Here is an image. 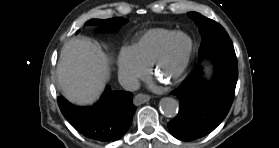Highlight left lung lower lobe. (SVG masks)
Listing matches in <instances>:
<instances>
[{"label": "left lung lower lobe", "instance_id": "0a47b994", "mask_svg": "<svg viewBox=\"0 0 279 148\" xmlns=\"http://www.w3.org/2000/svg\"><path fill=\"white\" fill-rule=\"evenodd\" d=\"M207 58L212 59L213 80L201 79V66L185 78L171 94L180 101L178 115L168 123L171 134L182 141L201 138L212 132L226 117L233 102L238 79V65L233 49L220 50ZM206 57L199 58L200 61Z\"/></svg>", "mask_w": 279, "mask_h": 148}]
</instances>
